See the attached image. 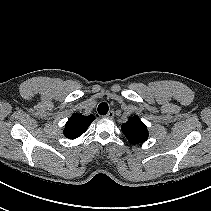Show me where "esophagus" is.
<instances>
[{"label": "esophagus", "instance_id": "1", "mask_svg": "<svg viewBox=\"0 0 211 211\" xmlns=\"http://www.w3.org/2000/svg\"><path fill=\"white\" fill-rule=\"evenodd\" d=\"M114 114H115L114 111L111 110V111H109V112L105 115V117H106V118H109V119H112V118L114 117Z\"/></svg>", "mask_w": 211, "mask_h": 211}]
</instances>
